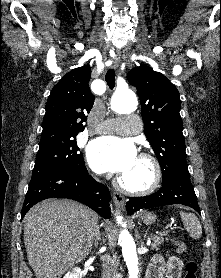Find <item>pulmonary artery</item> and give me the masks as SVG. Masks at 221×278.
I'll return each mask as SVG.
<instances>
[{
  "instance_id": "pulmonary-artery-1",
  "label": "pulmonary artery",
  "mask_w": 221,
  "mask_h": 278,
  "mask_svg": "<svg viewBox=\"0 0 221 278\" xmlns=\"http://www.w3.org/2000/svg\"><path fill=\"white\" fill-rule=\"evenodd\" d=\"M140 131V120L134 116H126L122 119L107 120L98 129V132L119 133L123 135L137 134Z\"/></svg>"
}]
</instances>
